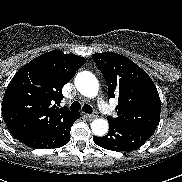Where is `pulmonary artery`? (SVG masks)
<instances>
[{
	"label": "pulmonary artery",
	"instance_id": "1",
	"mask_svg": "<svg viewBox=\"0 0 182 182\" xmlns=\"http://www.w3.org/2000/svg\"><path fill=\"white\" fill-rule=\"evenodd\" d=\"M98 107H99V109L101 110V112L103 114L108 115L111 112L110 107L108 106V104L102 98L98 99Z\"/></svg>",
	"mask_w": 182,
	"mask_h": 182
}]
</instances>
